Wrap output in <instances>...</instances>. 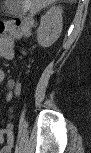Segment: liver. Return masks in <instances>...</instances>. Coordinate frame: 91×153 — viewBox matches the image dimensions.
<instances>
[{
  "label": "liver",
  "instance_id": "liver-1",
  "mask_svg": "<svg viewBox=\"0 0 91 153\" xmlns=\"http://www.w3.org/2000/svg\"><path fill=\"white\" fill-rule=\"evenodd\" d=\"M17 3L21 2V1H16ZM54 0H24L22 1V3L28 5V7L31 8V11L33 12H37L38 10H40L41 8H43L44 6L53 3Z\"/></svg>",
  "mask_w": 91,
  "mask_h": 153
}]
</instances>
